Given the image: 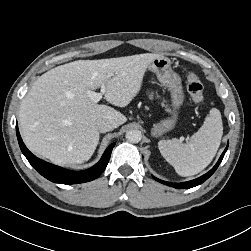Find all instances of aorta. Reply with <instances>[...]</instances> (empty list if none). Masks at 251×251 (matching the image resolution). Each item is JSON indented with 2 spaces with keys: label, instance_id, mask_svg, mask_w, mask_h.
Here are the masks:
<instances>
[{
  "label": "aorta",
  "instance_id": "obj_1",
  "mask_svg": "<svg viewBox=\"0 0 251 251\" xmlns=\"http://www.w3.org/2000/svg\"><path fill=\"white\" fill-rule=\"evenodd\" d=\"M126 139L131 143H138L142 139V134L139 130L132 129L126 133Z\"/></svg>",
  "mask_w": 251,
  "mask_h": 251
}]
</instances>
